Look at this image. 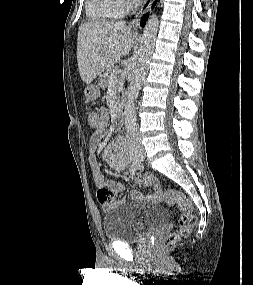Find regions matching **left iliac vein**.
I'll use <instances>...</instances> for the list:
<instances>
[{
	"label": "left iliac vein",
	"instance_id": "4c4485c4",
	"mask_svg": "<svg viewBox=\"0 0 253 285\" xmlns=\"http://www.w3.org/2000/svg\"><path fill=\"white\" fill-rule=\"evenodd\" d=\"M140 151L142 152V159H144V155H145V153H144V148H143V147H140Z\"/></svg>",
	"mask_w": 253,
	"mask_h": 285
}]
</instances>
